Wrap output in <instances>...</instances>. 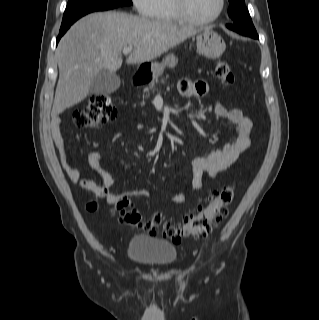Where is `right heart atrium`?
Returning a JSON list of instances; mask_svg holds the SVG:
<instances>
[{
  "mask_svg": "<svg viewBox=\"0 0 319 320\" xmlns=\"http://www.w3.org/2000/svg\"><path fill=\"white\" fill-rule=\"evenodd\" d=\"M138 13L146 17H154L160 0H132Z\"/></svg>",
  "mask_w": 319,
  "mask_h": 320,
  "instance_id": "d8ad5b80",
  "label": "right heart atrium"
}]
</instances>
